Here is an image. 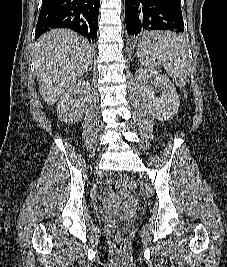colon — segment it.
Segmentation results:
<instances>
[{"label": "colon", "mask_w": 227, "mask_h": 267, "mask_svg": "<svg viewBox=\"0 0 227 267\" xmlns=\"http://www.w3.org/2000/svg\"><path fill=\"white\" fill-rule=\"evenodd\" d=\"M111 191L117 198L129 196L137 191L136 183L130 177H120L111 183ZM116 248L123 251L126 248L127 233L121 225H114L111 229Z\"/></svg>", "instance_id": "5ec220e1"}]
</instances>
